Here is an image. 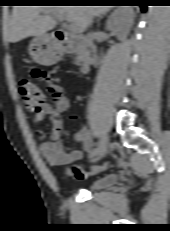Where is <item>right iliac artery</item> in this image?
<instances>
[{
	"mask_svg": "<svg viewBox=\"0 0 170 231\" xmlns=\"http://www.w3.org/2000/svg\"><path fill=\"white\" fill-rule=\"evenodd\" d=\"M98 148H96L94 151H92L89 155L90 158H94V156L97 154Z\"/></svg>",
	"mask_w": 170,
	"mask_h": 231,
	"instance_id": "1",
	"label": "right iliac artery"
}]
</instances>
